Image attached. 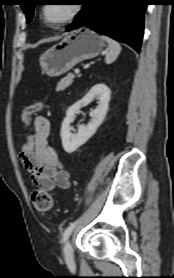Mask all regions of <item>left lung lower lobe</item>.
<instances>
[{
    "instance_id": "1",
    "label": "left lung lower lobe",
    "mask_w": 174,
    "mask_h": 278,
    "mask_svg": "<svg viewBox=\"0 0 174 278\" xmlns=\"http://www.w3.org/2000/svg\"><path fill=\"white\" fill-rule=\"evenodd\" d=\"M82 5L76 21L67 27V31L87 26L128 44L137 52L140 50L147 0H85Z\"/></svg>"
}]
</instances>
